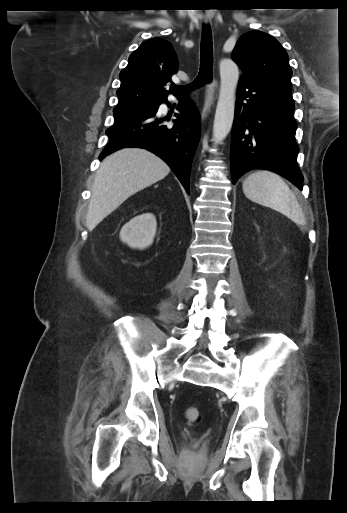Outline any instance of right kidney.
<instances>
[{
    "label": "right kidney",
    "mask_w": 347,
    "mask_h": 513,
    "mask_svg": "<svg viewBox=\"0 0 347 513\" xmlns=\"http://www.w3.org/2000/svg\"><path fill=\"white\" fill-rule=\"evenodd\" d=\"M157 222L155 215L144 213L126 223L120 231V240L131 248L144 249L153 243Z\"/></svg>",
    "instance_id": "obj_1"
}]
</instances>
